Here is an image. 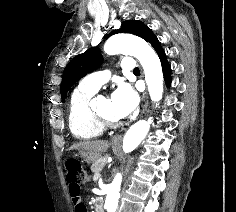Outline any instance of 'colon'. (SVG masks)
<instances>
[{
	"mask_svg": "<svg viewBox=\"0 0 236 212\" xmlns=\"http://www.w3.org/2000/svg\"><path fill=\"white\" fill-rule=\"evenodd\" d=\"M67 175H76L80 179V185L88 180V175L83 165L76 159H70L66 162ZM72 199V198H71Z\"/></svg>",
	"mask_w": 236,
	"mask_h": 212,
	"instance_id": "obj_1",
	"label": "colon"
}]
</instances>
